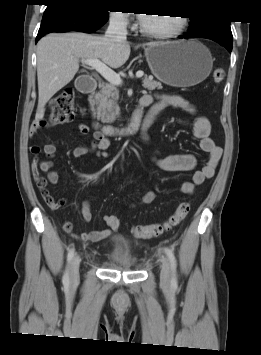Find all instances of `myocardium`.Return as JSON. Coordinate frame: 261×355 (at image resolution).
<instances>
[{
    "mask_svg": "<svg viewBox=\"0 0 261 355\" xmlns=\"http://www.w3.org/2000/svg\"><path fill=\"white\" fill-rule=\"evenodd\" d=\"M178 19V25L177 27L168 32H156V31H150L147 30L143 27V25H140V32L147 37L154 38V39H161V40H166V39H172L177 36H179L183 30L186 27L187 24V19L185 16H176Z\"/></svg>",
    "mask_w": 261,
    "mask_h": 355,
    "instance_id": "myocardium-1",
    "label": "myocardium"
}]
</instances>
